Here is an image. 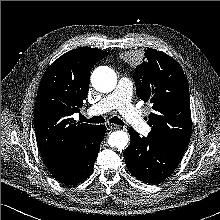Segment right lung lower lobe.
Here are the masks:
<instances>
[{
  "instance_id": "98d812e1",
  "label": "right lung lower lobe",
  "mask_w": 220,
  "mask_h": 220,
  "mask_svg": "<svg viewBox=\"0 0 220 220\" xmlns=\"http://www.w3.org/2000/svg\"><path fill=\"white\" fill-rule=\"evenodd\" d=\"M105 132L104 125L94 126L58 165L49 169L53 177L66 185L85 180L93 170Z\"/></svg>"
}]
</instances>
